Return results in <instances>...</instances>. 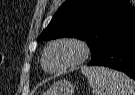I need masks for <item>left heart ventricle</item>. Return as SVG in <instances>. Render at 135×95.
<instances>
[{"label": "left heart ventricle", "mask_w": 135, "mask_h": 95, "mask_svg": "<svg viewBox=\"0 0 135 95\" xmlns=\"http://www.w3.org/2000/svg\"><path fill=\"white\" fill-rule=\"evenodd\" d=\"M78 56L77 49L68 44L54 47L46 58V66L49 69H59L72 63Z\"/></svg>", "instance_id": "b2bd125f"}]
</instances>
